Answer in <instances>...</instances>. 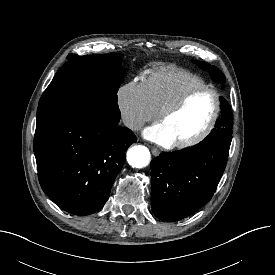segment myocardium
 Listing matches in <instances>:
<instances>
[{"mask_svg": "<svg viewBox=\"0 0 275 275\" xmlns=\"http://www.w3.org/2000/svg\"><path fill=\"white\" fill-rule=\"evenodd\" d=\"M203 91H208L213 94L214 99H215V105H214V110L213 113L206 124V126L195 136L182 140V141H177L174 142V146L178 148H188L192 147L194 145H197L201 141H203L213 130L217 119L220 114L221 110V98L219 92L210 86L203 85V86H198L194 87L188 91H186L183 95H181L177 100H175L173 103L165 107L162 111L159 112V120L162 122L165 118L168 116L176 113L179 111L187 102L190 98H192L194 95L197 93L203 92Z\"/></svg>", "mask_w": 275, "mask_h": 275, "instance_id": "1", "label": "myocardium"}]
</instances>
